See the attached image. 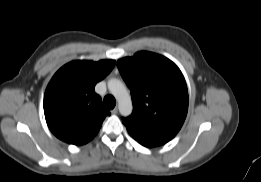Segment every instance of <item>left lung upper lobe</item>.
Wrapping results in <instances>:
<instances>
[{"instance_id":"5c2ea615","label":"left lung upper lobe","mask_w":261,"mask_h":182,"mask_svg":"<svg viewBox=\"0 0 261 182\" xmlns=\"http://www.w3.org/2000/svg\"><path fill=\"white\" fill-rule=\"evenodd\" d=\"M131 91L133 113L123 118L129 134L146 147L163 145L182 127L188 111L187 85L168 58L138 52L117 61Z\"/></svg>"}]
</instances>
